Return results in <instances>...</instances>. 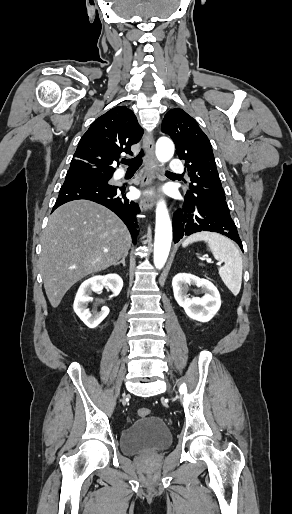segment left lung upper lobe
Listing matches in <instances>:
<instances>
[{"label":"left lung upper lobe","mask_w":292,"mask_h":514,"mask_svg":"<svg viewBox=\"0 0 292 514\" xmlns=\"http://www.w3.org/2000/svg\"><path fill=\"white\" fill-rule=\"evenodd\" d=\"M161 129L173 139L179 158L185 160L191 181L186 194L205 202L226 203L211 143L198 123L184 110L171 109Z\"/></svg>","instance_id":"left-lung-upper-lobe-1"}]
</instances>
